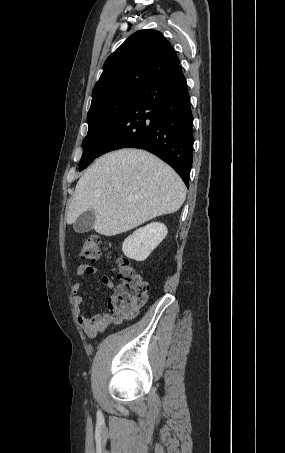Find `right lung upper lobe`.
Instances as JSON below:
<instances>
[{
  "label": "right lung upper lobe",
  "mask_w": 285,
  "mask_h": 453,
  "mask_svg": "<svg viewBox=\"0 0 285 453\" xmlns=\"http://www.w3.org/2000/svg\"><path fill=\"white\" fill-rule=\"evenodd\" d=\"M179 64L169 41L156 30H140L105 61L92 91L91 107L124 93L139 91L153 76Z\"/></svg>",
  "instance_id": "right-lung-upper-lobe-1"
}]
</instances>
